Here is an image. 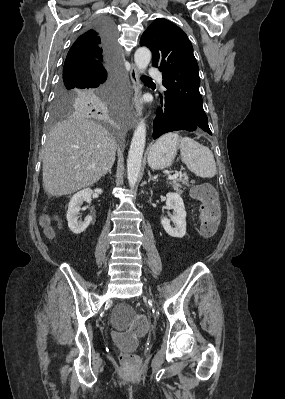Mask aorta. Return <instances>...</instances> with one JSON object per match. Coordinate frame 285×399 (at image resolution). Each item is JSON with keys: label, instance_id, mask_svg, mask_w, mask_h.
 Segmentation results:
<instances>
[{"label": "aorta", "instance_id": "aorta-1", "mask_svg": "<svg viewBox=\"0 0 285 399\" xmlns=\"http://www.w3.org/2000/svg\"><path fill=\"white\" fill-rule=\"evenodd\" d=\"M151 51L147 47H140L134 55L135 64L141 72L149 65ZM146 142V124L140 120L132 137L127 159V179L129 186L134 188L141 169L142 157Z\"/></svg>", "mask_w": 285, "mask_h": 399}]
</instances>
